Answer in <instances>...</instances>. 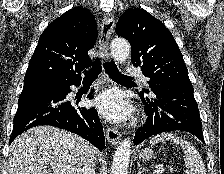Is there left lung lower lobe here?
<instances>
[{"instance_id": "1", "label": "left lung lower lobe", "mask_w": 224, "mask_h": 174, "mask_svg": "<svg viewBox=\"0 0 224 174\" xmlns=\"http://www.w3.org/2000/svg\"><path fill=\"white\" fill-rule=\"evenodd\" d=\"M152 96L140 92L139 95L147 114L146 124L134 136L138 145L149 137L167 131H186L197 136L203 143L202 122L192 86L153 84Z\"/></svg>"}]
</instances>
